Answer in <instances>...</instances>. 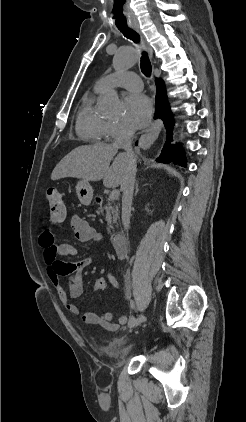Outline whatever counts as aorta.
<instances>
[{
    "label": "aorta",
    "instance_id": "obj_1",
    "mask_svg": "<svg viewBox=\"0 0 246 422\" xmlns=\"http://www.w3.org/2000/svg\"><path fill=\"white\" fill-rule=\"evenodd\" d=\"M137 61V52L132 47L120 48L113 58V66L116 70H126L133 66ZM101 102L103 105V112L107 115L117 116L121 112L118 95L115 91L105 93Z\"/></svg>",
    "mask_w": 246,
    "mask_h": 422
}]
</instances>
